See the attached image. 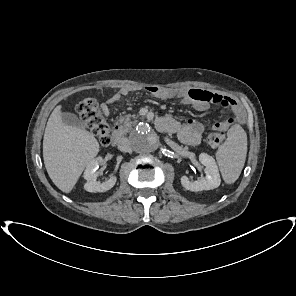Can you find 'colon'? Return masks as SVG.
<instances>
[{"mask_svg": "<svg viewBox=\"0 0 296 296\" xmlns=\"http://www.w3.org/2000/svg\"><path fill=\"white\" fill-rule=\"evenodd\" d=\"M76 112L86 126L94 134L98 142L107 146L110 144L111 135L110 127L107 123L103 109L99 106V103L91 97L84 98L76 105ZM225 139V133L223 131H217L210 133L206 138L208 146L215 148L219 146Z\"/></svg>", "mask_w": 296, "mask_h": 296, "instance_id": "obj_1", "label": "colon"}]
</instances>
